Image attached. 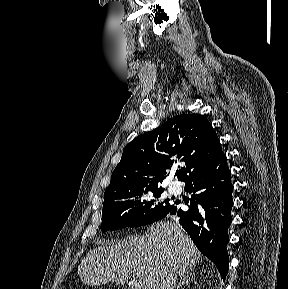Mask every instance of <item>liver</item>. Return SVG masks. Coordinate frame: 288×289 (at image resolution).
Listing matches in <instances>:
<instances>
[{
    "label": "liver",
    "instance_id": "liver-1",
    "mask_svg": "<svg viewBox=\"0 0 288 289\" xmlns=\"http://www.w3.org/2000/svg\"><path fill=\"white\" fill-rule=\"evenodd\" d=\"M201 253L183 228L172 222L152 224L145 236L118 242L100 241L82 260L78 275L84 284L109 282L124 284L136 277L140 289H161L165 275H184L200 259Z\"/></svg>",
    "mask_w": 288,
    "mask_h": 289
}]
</instances>
